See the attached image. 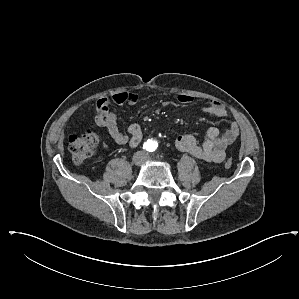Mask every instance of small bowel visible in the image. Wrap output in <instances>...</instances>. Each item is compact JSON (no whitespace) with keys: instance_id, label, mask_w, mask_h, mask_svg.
Segmentation results:
<instances>
[{"instance_id":"obj_1","label":"small bowel","mask_w":299,"mask_h":299,"mask_svg":"<svg viewBox=\"0 0 299 299\" xmlns=\"http://www.w3.org/2000/svg\"><path fill=\"white\" fill-rule=\"evenodd\" d=\"M178 102L182 105H190L194 99L188 95H179ZM139 101L138 94L134 92H119L111 97H101L96 101V123L106 129L111 138L117 144H128L130 148H136L142 141V129L136 124H130L127 133L120 131L118 127V113L112 109L124 104L135 105ZM199 112L209 114L221 119H228L227 110L217 101H209L201 106ZM239 136V127L235 122H229L223 133L217 127H210L206 132V138L200 144L191 134L179 135L175 139V147L194 156L206 163H219L226 156L227 147Z\"/></svg>"}]
</instances>
